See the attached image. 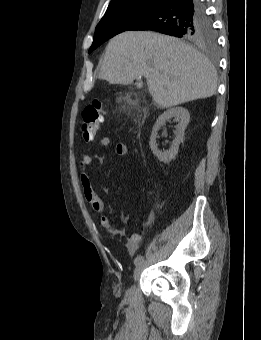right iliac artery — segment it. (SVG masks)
<instances>
[{
    "label": "right iliac artery",
    "mask_w": 261,
    "mask_h": 340,
    "mask_svg": "<svg viewBox=\"0 0 261 340\" xmlns=\"http://www.w3.org/2000/svg\"><path fill=\"white\" fill-rule=\"evenodd\" d=\"M144 260V257L142 255H138L135 260H134V264L138 265L139 263H141Z\"/></svg>",
    "instance_id": "right-iliac-artery-1"
}]
</instances>
